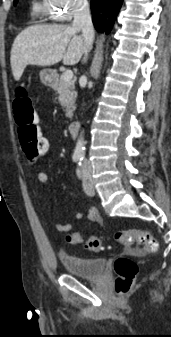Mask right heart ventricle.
<instances>
[{
    "mask_svg": "<svg viewBox=\"0 0 171 337\" xmlns=\"http://www.w3.org/2000/svg\"><path fill=\"white\" fill-rule=\"evenodd\" d=\"M33 11L34 13L38 15H46L47 9H46V2L43 0L41 3H34L33 5Z\"/></svg>",
    "mask_w": 171,
    "mask_h": 337,
    "instance_id": "e07e8e85",
    "label": "right heart ventricle"
}]
</instances>
